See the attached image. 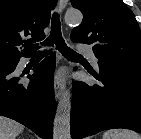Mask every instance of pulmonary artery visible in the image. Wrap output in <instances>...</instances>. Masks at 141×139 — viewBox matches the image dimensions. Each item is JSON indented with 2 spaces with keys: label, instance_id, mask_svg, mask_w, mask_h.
I'll return each mask as SVG.
<instances>
[{
  "label": "pulmonary artery",
  "instance_id": "obj_1",
  "mask_svg": "<svg viewBox=\"0 0 141 139\" xmlns=\"http://www.w3.org/2000/svg\"><path fill=\"white\" fill-rule=\"evenodd\" d=\"M78 50L84 54H86L92 61V63L97 66L98 65V59L96 58L93 50L86 45H79Z\"/></svg>",
  "mask_w": 141,
  "mask_h": 139
}]
</instances>
